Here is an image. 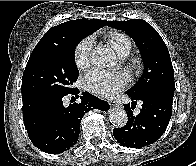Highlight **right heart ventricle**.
<instances>
[{"label":"right heart ventricle","instance_id":"e07e8e85","mask_svg":"<svg viewBox=\"0 0 196 166\" xmlns=\"http://www.w3.org/2000/svg\"><path fill=\"white\" fill-rule=\"evenodd\" d=\"M107 41L118 56H127L132 48L130 38L121 32H112L108 34Z\"/></svg>","mask_w":196,"mask_h":166}]
</instances>
